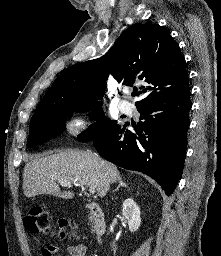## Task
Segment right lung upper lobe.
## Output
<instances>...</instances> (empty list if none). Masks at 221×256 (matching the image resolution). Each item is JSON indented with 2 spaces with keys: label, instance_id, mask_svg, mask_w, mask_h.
I'll use <instances>...</instances> for the list:
<instances>
[{
  "label": "right lung upper lobe",
  "instance_id": "cb5924a9",
  "mask_svg": "<svg viewBox=\"0 0 221 256\" xmlns=\"http://www.w3.org/2000/svg\"><path fill=\"white\" fill-rule=\"evenodd\" d=\"M109 73L127 86L144 83L143 99L135 103L137 108L152 99L190 92L185 59L168 31L158 24H135L104 56L65 69L36 110L60 99L100 103L97 100L103 98Z\"/></svg>",
  "mask_w": 221,
  "mask_h": 256
}]
</instances>
